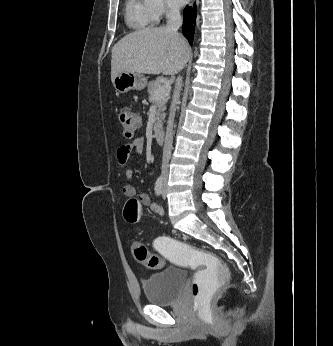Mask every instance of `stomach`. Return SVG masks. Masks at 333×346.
Returning a JSON list of instances; mask_svg holds the SVG:
<instances>
[{
	"label": "stomach",
	"mask_w": 333,
	"mask_h": 346,
	"mask_svg": "<svg viewBox=\"0 0 333 346\" xmlns=\"http://www.w3.org/2000/svg\"><path fill=\"white\" fill-rule=\"evenodd\" d=\"M115 90L119 93H126L130 90H142L147 85V79L136 73L122 72L112 81Z\"/></svg>",
	"instance_id": "0dacf381"
}]
</instances>
